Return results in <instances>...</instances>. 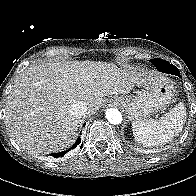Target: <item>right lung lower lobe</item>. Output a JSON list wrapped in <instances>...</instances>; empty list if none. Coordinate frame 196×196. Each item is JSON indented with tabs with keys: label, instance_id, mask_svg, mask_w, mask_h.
<instances>
[{
	"label": "right lung lower lobe",
	"instance_id": "obj_1",
	"mask_svg": "<svg viewBox=\"0 0 196 196\" xmlns=\"http://www.w3.org/2000/svg\"><path fill=\"white\" fill-rule=\"evenodd\" d=\"M80 144H81V138H78V139L76 140L75 144H74L71 148H69L68 150L63 151V152L52 153L51 156L56 157V158L62 157V156H64V154H66L69 150L74 149L75 147H77V145H80ZM82 145H83V143L81 144V148H82Z\"/></svg>",
	"mask_w": 196,
	"mask_h": 196
}]
</instances>
